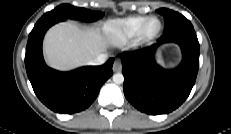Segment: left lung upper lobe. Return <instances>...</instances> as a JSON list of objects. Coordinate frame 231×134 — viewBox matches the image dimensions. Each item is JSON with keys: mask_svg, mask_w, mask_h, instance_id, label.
Returning a JSON list of instances; mask_svg holds the SVG:
<instances>
[{"mask_svg": "<svg viewBox=\"0 0 231 134\" xmlns=\"http://www.w3.org/2000/svg\"><path fill=\"white\" fill-rule=\"evenodd\" d=\"M157 12L165 18L164 34L181 28L193 27L189 20L177 12L165 8L158 9Z\"/></svg>", "mask_w": 231, "mask_h": 134, "instance_id": "5c2ea615", "label": "left lung upper lobe"}]
</instances>
